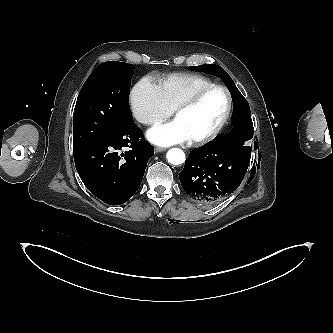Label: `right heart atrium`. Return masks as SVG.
I'll list each match as a JSON object with an SVG mask.
<instances>
[{"mask_svg":"<svg viewBox=\"0 0 333 333\" xmlns=\"http://www.w3.org/2000/svg\"><path fill=\"white\" fill-rule=\"evenodd\" d=\"M130 107L135 119L144 125L166 120L172 109L165 102L160 88L151 79H141L130 94Z\"/></svg>","mask_w":333,"mask_h":333,"instance_id":"d8ad5b80","label":"right heart atrium"}]
</instances>
